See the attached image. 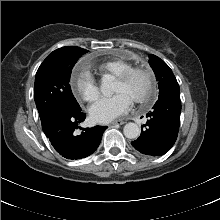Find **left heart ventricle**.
<instances>
[{"instance_id":"obj_1","label":"left heart ventricle","mask_w":220,"mask_h":220,"mask_svg":"<svg viewBox=\"0 0 220 220\" xmlns=\"http://www.w3.org/2000/svg\"><path fill=\"white\" fill-rule=\"evenodd\" d=\"M147 83L143 75H136L128 82L118 81L115 84L116 93H127L133 100L141 97L146 91Z\"/></svg>"}]
</instances>
